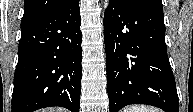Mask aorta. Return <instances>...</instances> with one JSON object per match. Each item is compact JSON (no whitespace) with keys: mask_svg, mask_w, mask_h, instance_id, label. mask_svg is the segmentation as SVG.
<instances>
[{"mask_svg":"<svg viewBox=\"0 0 193 112\" xmlns=\"http://www.w3.org/2000/svg\"><path fill=\"white\" fill-rule=\"evenodd\" d=\"M107 6H108V1H105L104 2V7L107 8Z\"/></svg>","mask_w":193,"mask_h":112,"instance_id":"obj_1","label":"aorta"}]
</instances>
